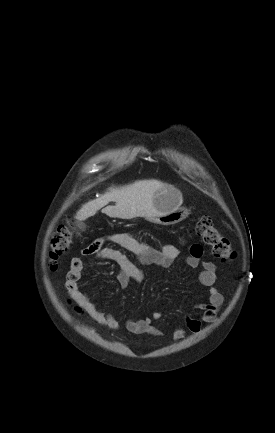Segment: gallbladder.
Returning a JSON list of instances; mask_svg holds the SVG:
<instances>
[{
    "label": "gallbladder",
    "mask_w": 275,
    "mask_h": 433,
    "mask_svg": "<svg viewBox=\"0 0 275 433\" xmlns=\"http://www.w3.org/2000/svg\"><path fill=\"white\" fill-rule=\"evenodd\" d=\"M79 227H82V225H81V224H79Z\"/></svg>",
    "instance_id": "bac80fb5"
}]
</instances>
